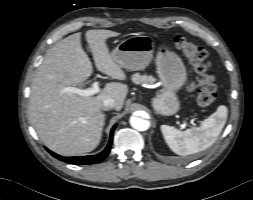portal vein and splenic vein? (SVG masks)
<instances>
[{
    "label": "portal vein and splenic vein",
    "mask_w": 253,
    "mask_h": 200,
    "mask_svg": "<svg viewBox=\"0 0 253 200\" xmlns=\"http://www.w3.org/2000/svg\"><path fill=\"white\" fill-rule=\"evenodd\" d=\"M65 92H70V93H75V94H79L80 96H92L94 94H97L100 91L99 88V83L98 82H94L92 84L91 88H87V89H79L76 87H66L64 89ZM183 127V126H182Z\"/></svg>",
    "instance_id": "obj_1"
}]
</instances>
